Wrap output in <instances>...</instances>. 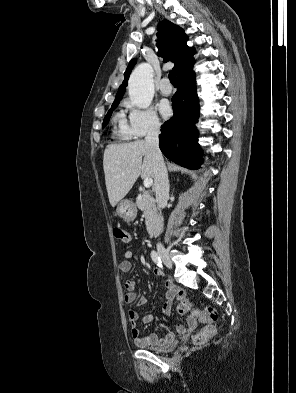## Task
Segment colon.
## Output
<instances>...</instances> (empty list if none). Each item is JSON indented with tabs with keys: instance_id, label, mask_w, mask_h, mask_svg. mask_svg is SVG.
I'll return each instance as SVG.
<instances>
[{
	"instance_id": "obj_1",
	"label": "colon",
	"mask_w": 296,
	"mask_h": 393,
	"mask_svg": "<svg viewBox=\"0 0 296 393\" xmlns=\"http://www.w3.org/2000/svg\"><path fill=\"white\" fill-rule=\"evenodd\" d=\"M113 233L118 240L124 243H128L131 240L130 233L121 227H115ZM178 309L180 313H185L191 310V303L188 300H179ZM192 315L197 319L205 322H214L218 317L217 311L210 306H207L202 310H192ZM215 333L216 328L213 325H208L194 335L193 343L198 346L204 345L209 341L210 338L214 336Z\"/></svg>"
}]
</instances>
